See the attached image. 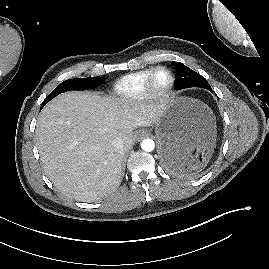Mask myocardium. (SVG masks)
Returning a JSON list of instances; mask_svg holds the SVG:
<instances>
[{"label": "myocardium", "mask_w": 269, "mask_h": 269, "mask_svg": "<svg viewBox=\"0 0 269 269\" xmlns=\"http://www.w3.org/2000/svg\"><path fill=\"white\" fill-rule=\"evenodd\" d=\"M159 71H165L168 74L169 81L167 85L161 89L155 86V77ZM175 85V76L171 69L166 66H157L153 68L144 85V96L155 101L165 100L172 92Z\"/></svg>", "instance_id": "1"}]
</instances>
